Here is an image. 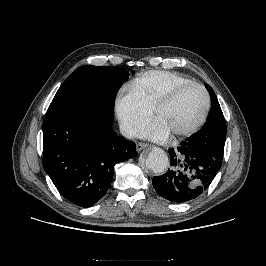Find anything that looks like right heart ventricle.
Listing matches in <instances>:
<instances>
[{
    "mask_svg": "<svg viewBox=\"0 0 266 266\" xmlns=\"http://www.w3.org/2000/svg\"><path fill=\"white\" fill-rule=\"evenodd\" d=\"M193 82L191 79L170 71L152 70L140 74L128 86L151 110L172 88Z\"/></svg>",
    "mask_w": 266,
    "mask_h": 266,
    "instance_id": "e07e8e85",
    "label": "right heart ventricle"
}]
</instances>
